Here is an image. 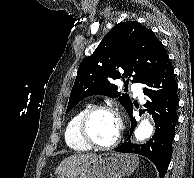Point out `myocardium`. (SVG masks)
<instances>
[{"label": "myocardium", "instance_id": "f54148a6", "mask_svg": "<svg viewBox=\"0 0 194 178\" xmlns=\"http://www.w3.org/2000/svg\"><path fill=\"white\" fill-rule=\"evenodd\" d=\"M97 112L111 113L117 118L119 122V132L115 137V139L108 144L96 143L88 133L87 124L90 118ZM122 128H123L122 120L119 113L116 111V109H114L112 106H109V105H94L87 108L85 112L82 114L77 126V132H78L79 138L89 147L106 150V149H111L115 147L120 142L122 137Z\"/></svg>", "mask_w": 194, "mask_h": 178}]
</instances>
